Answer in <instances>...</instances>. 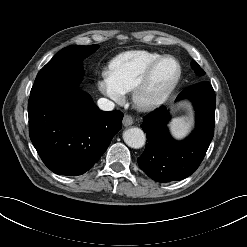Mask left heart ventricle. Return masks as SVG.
I'll use <instances>...</instances> for the list:
<instances>
[{
  "label": "left heart ventricle",
  "mask_w": 247,
  "mask_h": 247,
  "mask_svg": "<svg viewBox=\"0 0 247 247\" xmlns=\"http://www.w3.org/2000/svg\"><path fill=\"white\" fill-rule=\"evenodd\" d=\"M177 73L176 64L171 60L162 61L156 68L148 87V94L154 95L168 86Z\"/></svg>",
  "instance_id": "1"
}]
</instances>
